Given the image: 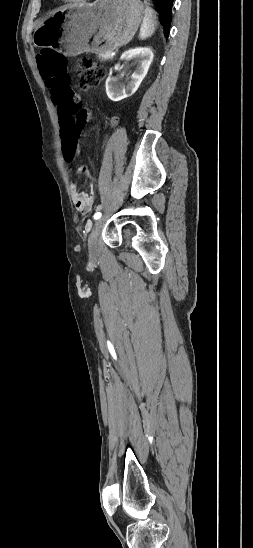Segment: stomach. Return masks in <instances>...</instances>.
I'll return each instance as SVG.
<instances>
[{"mask_svg": "<svg viewBox=\"0 0 253 548\" xmlns=\"http://www.w3.org/2000/svg\"><path fill=\"white\" fill-rule=\"evenodd\" d=\"M144 16L140 0H96L56 11L35 31L38 46H57L67 56L105 53L126 45Z\"/></svg>", "mask_w": 253, "mask_h": 548, "instance_id": "obj_1", "label": "stomach"}]
</instances>
